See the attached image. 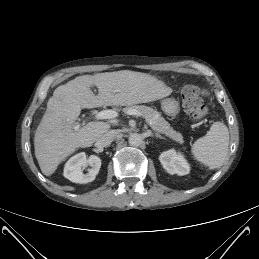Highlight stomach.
<instances>
[{"label":"stomach","instance_id":"stomach-1","mask_svg":"<svg viewBox=\"0 0 259 259\" xmlns=\"http://www.w3.org/2000/svg\"><path fill=\"white\" fill-rule=\"evenodd\" d=\"M162 110L169 116H175L179 113V102L174 98H165L161 102Z\"/></svg>","mask_w":259,"mask_h":259}]
</instances>
